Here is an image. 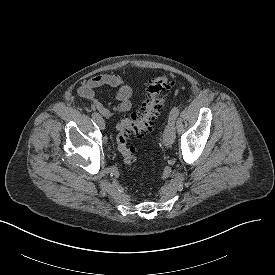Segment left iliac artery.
<instances>
[{
	"label": "left iliac artery",
	"instance_id": "left-iliac-artery-1",
	"mask_svg": "<svg viewBox=\"0 0 275 275\" xmlns=\"http://www.w3.org/2000/svg\"><path fill=\"white\" fill-rule=\"evenodd\" d=\"M179 115V108L178 107H174L171 112H170V115H169V120L175 122L176 118L178 117Z\"/></svg>",
	"mask_w": 275,
	"mask_h": 275
}]
</instances>
